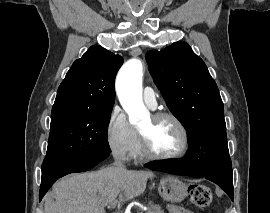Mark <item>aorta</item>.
<instances>
[{"label": "aorta", "instance_id": "1", "mask_svg": "<svg viewBox=\"0 0 270 213\" xmlns=\"http://www.w3.org/2000/svg\"><path fill=\"white\" fill-rule=\"evenodd\" d=\"M143 65L139 59L127 61L116 79V92L132 125H138L149 117L142 99Z\"/></svg>", "mask_w": 270, "mask_h": 213}]
</instances>
